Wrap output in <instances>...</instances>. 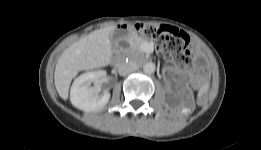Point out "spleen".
Listing matches in <instances>:
<instances>
[{"label":"spleen","mask_w":261,"mask_h":150,"mask_svg":"<svg viewBox=\"0 0 261 150\" xmlns=\"http://www.w3.org/2000/svg\"><path fill=\"white\" fill-rule=\"evenodd\" d=\"M206 90H207V87H203V88L200 90L199 95L203 94Z\"/></svg>","instance_id":"1"}]
</instances>
